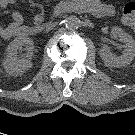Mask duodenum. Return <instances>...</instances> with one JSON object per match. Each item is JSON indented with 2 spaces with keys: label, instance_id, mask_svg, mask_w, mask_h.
Wrapping results in <instances>:
<instances>
[{
  "label": "duodenum",
  "instance_id": "1",
  "mask_svg": "<svg viewBox=\"0 0 135 135\" xmlns=\"http://www.w3.org/2000/svg\"><path fill=\"white\" fill-rule=\"evenodd\" d=\"M24 31H25V32H28L27 29H24ZM41 31H42V28H38V29L35 31V33H36V34H39V33H41ZM31 32H33V29H31Z\"/></svg>",
  "mask_w": 135,
  "mask_h": 135
}]
</instances>
